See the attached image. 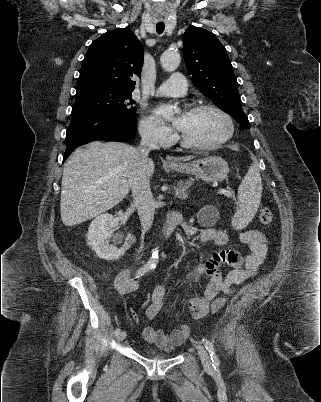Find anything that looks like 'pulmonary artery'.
<instances>
[{"label":"pulmonary artery","instance_id":"obj_1","mask_svg":"<svg viewBox=\"0 0 321 402\" xmlns=\"http://www.w3.org/2000/svg\"><path fill=\"white\" fill-rule=\"evenodd\" d=\"M186 89L187 84L184 76L175 73L167 81L156 87L152 94L156 96H182Z\"/></svg>","mask_w":321,"mask_h":402}]
</instances>
